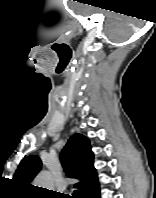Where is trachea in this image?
<instances>
[{
  "mask_svg": "<svg viewBox=\"0 0 156 198\" xmlns=\"http://www.w3.org/2000/svg\"><path fill=\"white\" fill-rule=\"evenodd\" d=\"M82 196H83L82 191L76 190V191H74L72 198H82Z\"/></svg>",
  "mask_w": 156,
  "mask_h": 198,
  "instance_id": "trachea-1",
  "label": "trachea"
}]
</instances>
